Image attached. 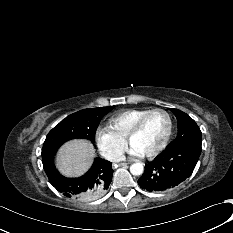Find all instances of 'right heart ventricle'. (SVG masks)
<instances>
[{
    "instance_id": "obj_1",
    "label": "right heart ventricle",
    "mask_w": 233,
    "mask_h": 233,
    "mask_svg": "<svg viewBox=\"0 0 233 233\" xmlns=\"http://www.w3.org/2000/svg\"><path fill=\"white\" fill-rule=\"evenodd\" d=\"M149 109H128L113 116L108 123L110 131L119 139L125 141L126 137L137 122Z\"/></svg>"
}]
</instances>
